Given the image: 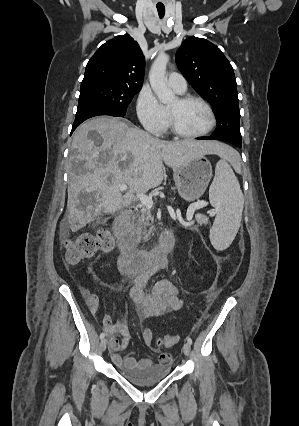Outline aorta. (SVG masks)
Wrapping results in <instances>:
<instances>
[{
	"label": "aorta",
	"instance_id": "obj_1",
	"mask_svg": "<svg viewBox=\"0 0 299 426\" xmlns=\"http://www.w3.org/2000/svg\"><path fill=\"white\" fill-rule=\"evenodd\" d=\"M168 62L169 56L167 54H159L154 60L149 72L151 88L163 104H169L175 99L174 92L166 84V67Z\"/></svg>",
	"mask_w": 299,
	"mask_h": 426
}]
</instances>
